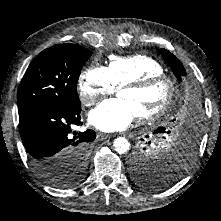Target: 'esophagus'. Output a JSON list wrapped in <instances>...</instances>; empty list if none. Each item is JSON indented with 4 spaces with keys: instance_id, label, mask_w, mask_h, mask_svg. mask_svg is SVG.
Here are the masks:
<instances>
[{
    "instance_id": "obj_1",
    "label": "esophagus",
    "mask_w": 221,
    "mask_h": 221,
    "mask_svg": "<svg viewBox=\"0 0 221 221\" xmlns=\"http://www.w3.org/2000/svg\"><path fill=\"white\" fill-rule=\"evenodd\" d=\"M98 136L101 137V138H103V139H107V138H110L111 135H109V134H104V133H100Z\"/></svg>"
}]
</instances>
